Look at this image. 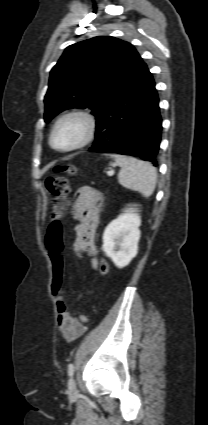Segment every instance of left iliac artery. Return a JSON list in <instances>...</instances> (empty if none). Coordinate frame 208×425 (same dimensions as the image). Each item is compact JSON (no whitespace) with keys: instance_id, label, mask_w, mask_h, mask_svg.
Instances as JSON below:
<instances>
[{"instance_id":"obj_1","label":"left iliac artery","mask_w":208,"mask_h":425,"mask_svg":"<svg viewBox=\"0 0 208 425\" xmlns=\"http://www.w3.org/2000/svg\"><path fill=\"white\" fill-rule=\"evenodd\" d=\"M74 370H75L74 365H73V364H69V365H68V375H69V376H73V374H74Z\"/></svg>"}]
</instances>
